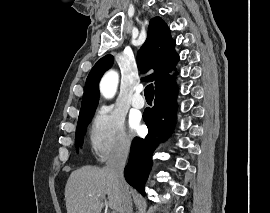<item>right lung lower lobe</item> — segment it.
Returning a JSON list of instances; mask_svg holds the SVG:
<instances>
[{
  "mask_svg": "<svg viewBox=\"0 0 270 213\" xmlns=\"http://www.w3.org/2000/svg\"><path fill=\"white\" fill-rule=\"evenodd\" d=\"M177 85L170 78L155 88V101L152 109H146L143 114L148 127V135L142 139L133 140L130 157L125 167L126 181L145 195L144 186L152 165V154L157 147L156 136L166 139L173 130L176 114ZM164 118V121L161 119Z\"/></svg>",
  "mask_w": 270,
  "mask_h": 213,
  "instance_id": "right-lung-lower-lobe-1",
  "label": "right lung lower lobe"
}]
</instances>
